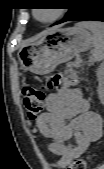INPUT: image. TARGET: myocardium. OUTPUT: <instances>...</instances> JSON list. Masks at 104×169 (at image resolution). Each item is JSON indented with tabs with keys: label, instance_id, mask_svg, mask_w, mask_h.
<instances>
[{
	"label": "myocardium",
	"instance_id": "f54148a6",
	"mask_svg": "<svg viewBox=\"0 0 104 169\" xmlns=\"http://www.w3.org/2000/svg\"><path fill=\"white\" fill-rule=\"evenodd\" d=\"M33 13H34V17H35L37 20H39L38 17H37V11L34 10ZM61 15H62V10H56L51 18H49V19H47V20H39V21H40V22H43V23H51V22H54V21H56L57 19H59V18L61 17Z\"/></svg>",
	"mask_w": 104,
	"mask_h": 169
}]
</instances>
